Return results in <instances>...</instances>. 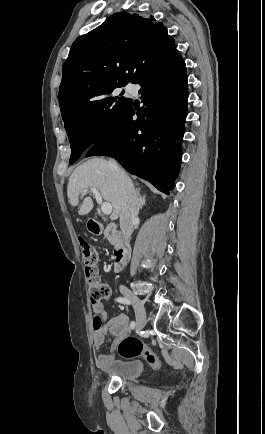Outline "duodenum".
Instances as JSON below:
<instances>
[{
	"label": "duodenum",
	"mask_w": 265,
	"mask_h": 434,
	"mask_svg": "<svg viewBox=\"0 0 265 434\" xmlns=\"http://www.w3.org/2000/svg\"><path fill=\"white\" fill-rule=\"evenodd\" d=\"M87 224L89 225L88 229L91 232H94V231L95 232H103L111 244L117 245L118 228L116 225L109 224L106 226H99V225H97V220L93 219V218H90L87 221ZM130 249H131L130 246L126 244V245L118 246L114 250V259H113L114 271H120L121 268L124 266L125 260L129 256Z\"/></svg>",
	"instance_id": "410a0bca"
}]
</instances>
